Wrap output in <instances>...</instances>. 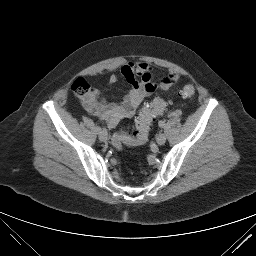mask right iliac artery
<instances>
[{"label": "right iliac artery", "instance_id": "82829eb1", "mask_svg": "<svg viewBox=\"0 0 256 256\" xmlns=\"http://www.w3.org/2000/svg\"><path fill=\"white\" fill-rule=\"evenodd\" d=\"M96 131L100 133L102 131L101 127L100 126H96Z\"/></svg>", "mask_w": 256, "mask_h": 256}]
</instances>
